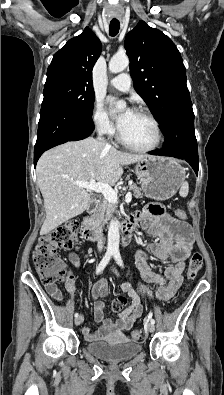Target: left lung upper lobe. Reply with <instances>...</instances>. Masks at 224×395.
Masks as SVG:
<instances>
[{
	"label": "left lung upper lobe",
	"instance_id": "1",
	"mask_svg": "<svg viewBox=\"0 0 224 395\" xmlns=\"http://www.w3.org/2000/svg\"><path fill=\"white\" fill-rule=\"evenodd\" d=\"M125 49L134 88L163 131L172 115L192 108L180 52L168 36L142 20L127 34Z\"/></svg>",
	"mask_w": 224,
	"mask_h": 395
}]
</instances>
